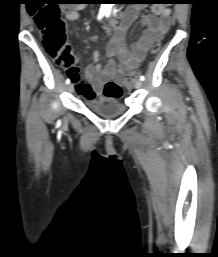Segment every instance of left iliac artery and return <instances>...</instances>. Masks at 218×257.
Instances as JSON below:
<instances>
[{"mask_svg": "<svg viewBox=\"0 0 218 257\" xmlns=\"http://www.w3.org/2000/svg\"><path fill=\"white\" fill-rule=\"evenodd\" d=\"M106 16H107V18H109L110 13H107ZM140 80H141V81H144V80H145V77H144L143 75H141V76H140Z\"/></svg>", "mask_w": 218, "mask_h": 257, "instance_id": "left-iliac-artery-1", "label": "left iliac artery"}]
</instances>
